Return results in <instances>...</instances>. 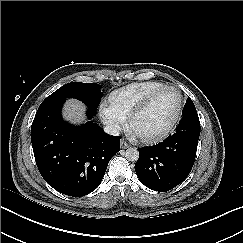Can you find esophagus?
<instances>
[{
  "instance_id": "34e87169",
  "label": "esophagus",
  "mask_w": 243,
  "mask_h": 243,
  "mask_svg": "<svg viewBox=\"0 0 243 243\" xmlns=\"http://www.w3.org/2000/svg\"><path fill=\"white\" fill-rule=\"evenodd\" d=\"M120 146H121L122 149H126L130 145L124 139H122L121 142H120Z\"/></svg>"
}]
</instances>
